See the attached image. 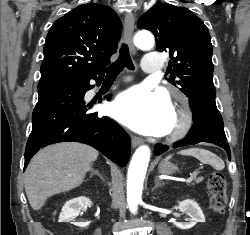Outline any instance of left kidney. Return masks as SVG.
Masks as SVG:
<instances>
[{"instance_id":"1","label":"left kidney","mask_w":250,"mask_h":235,"mask_svg":"<svg viewBox=\"0 0 250 235\" xmlns=\"http://www.w3.org/2000/svg\"><path fill=\"white\" fill-rule=\"evenodd\" d=\"M179 211L182 214H186L190 217L189 222H177L175 223L176 227L182 230L190 229L194 225H196L198 222H205V216L199 207V205L190 199L183 200L182 202H179Z\"/></svg>"}]
</instances>
